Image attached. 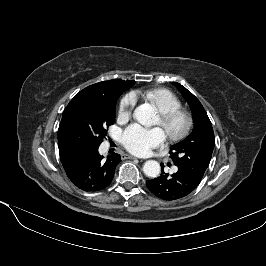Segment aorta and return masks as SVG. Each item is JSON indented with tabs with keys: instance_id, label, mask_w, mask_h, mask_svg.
Listing matches in <instances>:
<instances>
[{
	"instance_id": "762f6f07",
	"label": "aorta",
	"mask_w": 266,
	"mask_h": 266,
	"mask_svg": "<svg viewBox=\"0 0 266 266\" xmlns=\"http://www.w3.org/2000/svg\"><path fill=\"white\" fill-rule=\"evenodd\" d=\"M133 117L144 126H152L156 121V113L150 104L138 106L133 113ZM160 164L155 160H148L143 165V172L150 178H155L160 174Z\"/></svg>"
}]
</instances>
